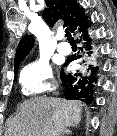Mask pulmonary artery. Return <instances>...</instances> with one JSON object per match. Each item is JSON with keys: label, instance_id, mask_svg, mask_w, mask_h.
<instances>
[{"label": "pulmonary artery", "instance_id": "pulmonary-artery-1", "mask_svg": "<svg viewBox=\"0 0 117 136\" xmlns=\"http://www.w3.org/2000/svg\"><path fill=\"white\" fill-rule=\"evenodd\" d=\"M57 50H58L59 53L67 55V54L70 53L71 48H70V46L67 43L61 42V43H59L57 45Z\"/></svg>", "mask_w": 117, "mask_h": 136}]
</instances>
